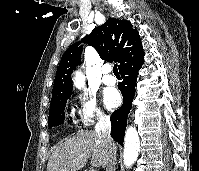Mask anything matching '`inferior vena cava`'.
Here are the masks:
<instances>
[{
  "label": "inferior vena cava",
  "instance_id": "1",
  "mask_svg": "<svg viewBox=\"0 0 199 171\" xmlns=\"http://www.w3.org/2000/svg\"><path fill=\"white\" fill-rule=\"evenodd\" d=\"M95 131L101 137L102 141L106 143L109 148L113 146V140L111 138V122L108 117L101 116L98 123L95 126ZM106 171H116V156L111 153L108 162L105 165Z\"/></svg>",
  "mask_w": 199,
  "mask_h": 171
}]
</instances>
